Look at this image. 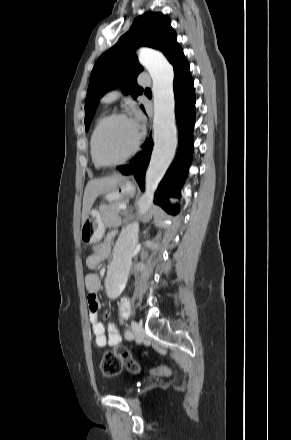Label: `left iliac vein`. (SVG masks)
Wrapping results in <instances>:
<instances>
[{"mask_svg":"<svg viewBox=\"0 0 291 440\" xmlns=\"http://www.w3.org/2000/svg\"><path fill=\"white\" fill-rule=\"evenodd\" d=\"M131 327L136 341L141 343L145 336L143 327L137 322H132Z\"/></svg>","mask_w":291,"mask_h":440,"instance_id":"left-iliac-vein-1","label":"left iliac vein"}]
</instances>
